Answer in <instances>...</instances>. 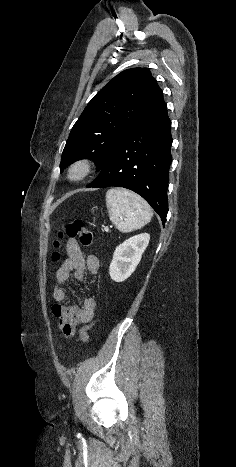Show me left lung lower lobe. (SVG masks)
<instances>
[{
    "instance_id": "left-lung-lower-lobe-1",
    "label": "left lung lower lobe",
    "mask_w": 236,
    "mask_h": 467,
    "mask_svg": "<svg viewBox=\"0 0 236 467\" xmlns=\"http://www.w3.org/2000/svg\"><path fill=\"white\" fill-rule=\"evenodd\" d=\"M171 144V121L162 100L122 136L98 177L87 187L130 189L151 205L164 225Z\"/></svg>"
}]
</instances>
